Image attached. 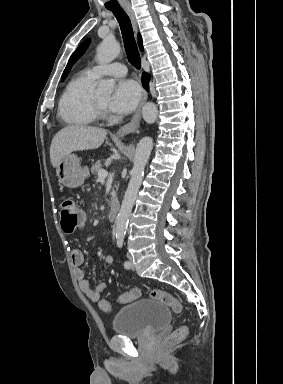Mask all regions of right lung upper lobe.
<instances>
[{
    "label": "right lung upper lobe",
    "mask_w": 283,
    "mask_h": 384,
    "mask_svg": "<svg viewBox=\"0 0 283 384\" xmlns=\"http://www.w3.org/2000/svg\"><path fill=\"white\" fill-rule=\"evenodd\" d=\"M139 46H140V48H141V50L143 49V47H142V39H141V36L139 35Z\"/></svg>",
    "instance_id": "1"
}]
</instances>
